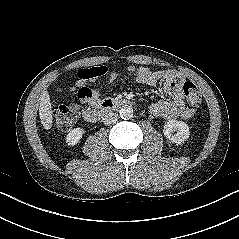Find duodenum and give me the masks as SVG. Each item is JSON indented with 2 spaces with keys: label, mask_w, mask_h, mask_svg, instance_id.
<instances>
[{
  "label": "duodenum",
  "mask_w": 239,
  "mask_h": 239,
  "mask_svg": "<svg viewBox=\"0 0 239 239\" xmlns=\"http://www.w3.org/2000/svg\"><path fill=\"white\" fill-rule=\"evenodd\" d=\"M128 102L129 100L126 99H103L96 106L85 109L82 115L85 121L89 123H96L108 112L118 109L126 105Z\"/></svg>",
  "instance_id": "1"
}]
</instances>
